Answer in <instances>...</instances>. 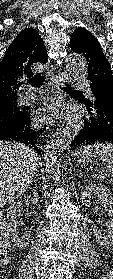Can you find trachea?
<instances>
[{
	"label": "trachea",
	"mask_w": 113,
	"mask_h": 279,
	"mask_svg": "<svg viewBox=\"0 0 113 279\" xmlns=\"http://www.w3.org/2000/svg\"><path fill=\"white\" fill-rule=\"evenodd\" d=\"M43 81H44V77L41 76L40 73L37 74V75H35L33 78H31V79L29 80L30 84H31L33 87H39V86L42 84ZM66 88H67V89H71V87H70L69 85H66Z\"/></svg>",
	"instance_id": "trachea-1"
}]
</instances>
